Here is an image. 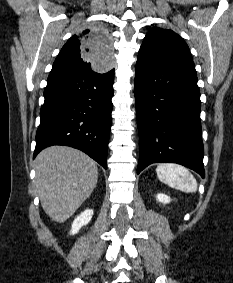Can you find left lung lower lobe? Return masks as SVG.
Returning <instances> with one entry per match:
<instances>
[{"instance_id":"left-lung-lower-lobe-1","label":"left lung lower lobe","mask_w":233,"mask_h":283,"mask_svg":"<svg viewBox=\"0 0 233 283\" xmlns=\"http://www.w3.org/2000/svg\"><path fill=\"white\" fill-rule=\"evenodd\" d=\"M134 87L140 141L137 174L152 163L171 162L204 178L201 101L193 61L139 51Z\"/></svg>"}]
</instances>
